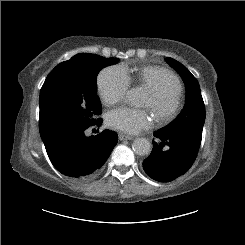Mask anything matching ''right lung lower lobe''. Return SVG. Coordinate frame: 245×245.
<instances>
[{
  "label": "right lung lower lobe",
  "mask_w": 245,
  "mask_h": 245,
  "mask_svg": "<svg viewBox=\"0 0 245 245\" xmlns=\"http://www.w3.org/2000/svg\"><path fill=\"white\" fill-rule=\"evenodd\" d=\"M101 124L102 121L98 120L93 125ZM87 128L63 129L43 140L54 167L62 174L81 181L89 180L100 172L118 141L116 133L107 129L87 137Z\"/></svg>",
  "instance_id": "right-lung-lower-lobe-1"
}]
</instances>
